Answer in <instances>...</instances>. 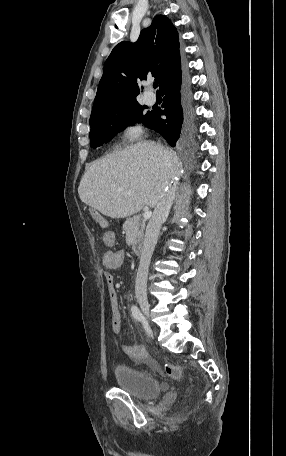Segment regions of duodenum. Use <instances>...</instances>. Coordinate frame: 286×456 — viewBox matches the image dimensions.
I'll return each mask as SVG.
<instances>
[{
    "instance_id": "1",
    "label": "duodenum",
    "mask_w": 286,
    "mask_h": 456,
    "mask_svg": "<svg viewBox=\"0 0 286 456\" xmlns=\"http://www.w3.org/2000/svg\"><path fill=\"white\" fill-rule=\"evenodd\" d=\"M133 251L136 255H140L143 251V243L142 242H136L133 245Z\"/></svg>"
}]
</instances>
